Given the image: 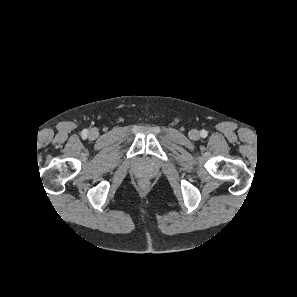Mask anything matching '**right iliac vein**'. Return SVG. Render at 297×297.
<instances>
[{"mask_svg":"<svg viewBox=\"0 0 297 297\" xmlns=\"http://www.w3.org/2000/svg\"><path fill=\"white\" fill-rule=\"evenodd\" d=\"M89 137L91 139H95L98 137V131L96 129H91L89 132Z\"/></svg>","mask_w":297,"mask_h":297,"instance_id":"right-iliac-vein-1","label":"right iliac vein"}]
</instances>
